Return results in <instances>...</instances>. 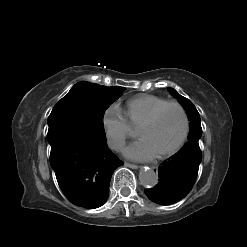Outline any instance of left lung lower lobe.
Masks as SVG:
<instances>
[{
    "label": "left lung lower lobe",
    "instance_id": "0a47b994",
    "mask_svg": "<svg viewBox=\"0 0 247 247\" xmlns=\"http://www.w3.org/2000/svg\"><path fill=\"white\" fill-rule=\"evenodd\" d=\"M201 160L198 141H189L175 156L161 164L158 169L159 183L144 190L147 197L161 205L183 199L194 185Z\"/></svg>",
    "mask_w": 247,
    "mask_h": 247
}]
</instances>
